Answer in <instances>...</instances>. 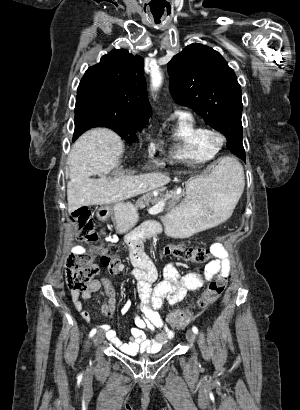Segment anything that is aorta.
Instances as JSON below:
<instances>
[{"instance_id":"obj_1","label":"aorta","mask_w":300,"mask_h":410,"mask_svg":"<svg viewBox=\"0 0 300 410\" xmlns=\"http://www.w3.org/2000/svg\"><path fill=\"white\" fill-rule=\"evenodd\" d=\"M151 83L153 89H158L162 83V74L159 71L151 73Z\"/></svg>"}]
</instances>
